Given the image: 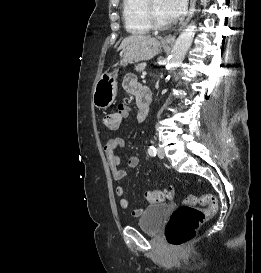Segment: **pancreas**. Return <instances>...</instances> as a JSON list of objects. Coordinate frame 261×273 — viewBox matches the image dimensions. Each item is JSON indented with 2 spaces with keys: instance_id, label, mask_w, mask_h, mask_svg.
Segmentation results:
<instances>
[{
  "instance_id": "pancreas-1",
  "label": "pancreas",
  "mask_w": 261,
  "mask_h": 273,
  "mask_svg": "<svg viewBox=\"0 0 261 273\" xmlns=\"http://www.w3.org/2000/svg\"><path fill=\"white\" fill-rule=\"evenodd\" d=\"M146 67V63H139L135 66L137 72H143Z\"/></svg>"
}]
</instances>
